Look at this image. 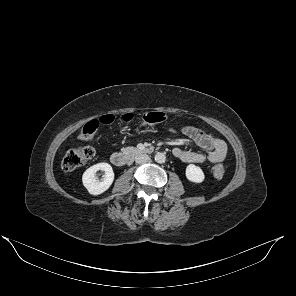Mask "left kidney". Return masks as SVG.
Wrapping results in <instances>:
<instances>
[{"label": "left kidney", "instance_id": "1", "mask_svg": "<svg viewBox=\"0 0 296 296\" xmlns=\"http://www.w3.org/2000/svg\"><path fill=\"white\" fill-rule=\"evenodd\" d=\"M186 178L194 183H201L205 179L202 169L194 164H189L186 167Z\"/></svg>", "mask_w": 296, "mask_h": 296}]
</instances>
